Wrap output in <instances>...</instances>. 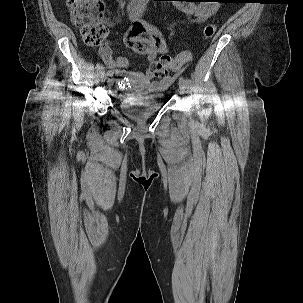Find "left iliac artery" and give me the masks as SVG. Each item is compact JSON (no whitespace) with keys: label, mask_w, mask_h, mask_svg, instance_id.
<instances>
[{"label":"left iliac artery","mask_w":303,"mask_h":303,"mask_svg":"<svg viewBox=\"0 0 303 303\" xmlns=\"http://www.w3.org/2000/svg\"><path fill=\"white\" fill-rule=\"evenodd\" d=\"M185 84H186V88H187L188 90H191V89H192L193 84H192L191 79L186 78V79H185Z\"/></svg>","instance_id":"1"}]
</instances>
